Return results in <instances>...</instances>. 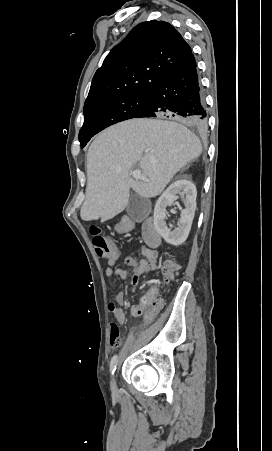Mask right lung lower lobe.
I'll return each mask as SVG.
<instances>
[{
  "mask_svg": "<svg viewBox=\"0 0 272 451\" xmlns=\"http://www.w3.org/2000/svg\"><path fill=\"white\" fill-rule=\"evenodd\" d=\"M174 118L204 132L207 129L205 97L192 55L149 94L147 108L136 118Z\"/></svg>",
  "mask_w": 272,
  "mask_h": 451,
  "instance_id": "1",
  "label": "right lung lower lobe"
}]
</instances>
